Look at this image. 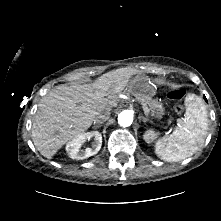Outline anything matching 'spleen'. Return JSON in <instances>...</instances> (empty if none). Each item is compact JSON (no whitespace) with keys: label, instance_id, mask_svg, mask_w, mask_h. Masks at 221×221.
Here are the masks:
<instances>
[{"label":"spleen","instance_id":"spleen-1","mask_svg":"<svg viewBox=\"0 0 221 221\" xmlns=\"http://www.w3.org/2000/svg\"><path fill=\"white\" fill-rule=\"evenodd\" d=\"M186 112L169 136L159 139L155 145L156 155L167 162H177L192 156L203 145L208 129V115L202 98L188 94L185 98Z\"/></svg>","mask_w":221,"mask_h":221}]
</instances>
